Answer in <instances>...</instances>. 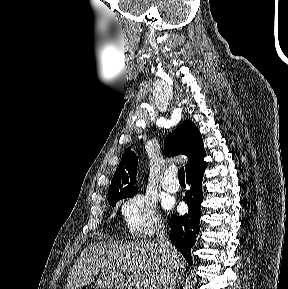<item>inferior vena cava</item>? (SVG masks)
Here are the masks:
<instances>
[{"instance_id": "1", "label": "inferior vena cava", "mask_w": 288, "mask_h": 289, "mask_svg": "<svg viewBox=\"0 0 288 289\" xmlns=\"http://www.w3.org/2000/svg\"><path fill=\"white\" fill-rule=\"evenodd\" d=\"M159 252L161 254L164 269L162 271V289H175L178 277V264L175 260V251L172 244L166 239L163 230L158 240Z\"/></svg>"}]
</instances>
